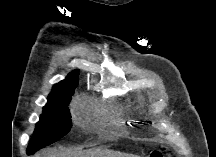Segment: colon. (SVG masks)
Segmentation results:
<instances>
[{
    "label": "colon",
    "instance_id": "1",
    "mask_svg": "<svg viewBox=\"0 0 216 157\" xmlns=\"http://www.w3.org/2000/svg\"><path fill=\"white\" fill-rule=\"evenodd\" d=\"M151 157H163L161 150H155L152 152Z\"/></svg>",
    "mask_w": 216,
    "mask_h": 157
}]
</instances>
